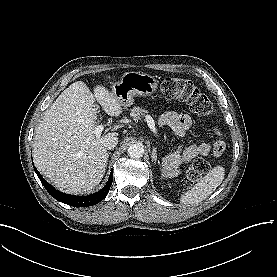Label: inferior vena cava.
<instances>
[{"mask_svg":"<svg viewBox=\"0 0 277 277\" xmlns=\"http://www.w3.org/2000/svg\"><path fill=\"white\" fill-rule=\"evenodd\" d=\"M118 144V138L115 136H111L108 137L105 141H104V147L106 149H113L114 147H116V145Z\"/></svg>","mask_w":277,"mask_h":277,"instance_id":"inferior-vena-cava-1","label":"inferior vena cava"}]
</instances>
